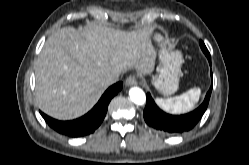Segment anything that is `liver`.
Masks as SVG:
<instances>
[{"mask_svg":"<svg viewBox=\"0 0 249 165\" xmlns=\"http://www.w3.org/2000/svg\"><path fill=\"white\" fill-rule=\"evenodd\" d=\"M152 29L122 31L98 24L64 27L45 42L35 67V97L45 114L71 120L88 112L107 86L103 78L136 69L154 70Z\"/></svg>","mask_w":249,"mask_h":165,"instance_id":"6515ba94","label":"liver"}]
</instances>
